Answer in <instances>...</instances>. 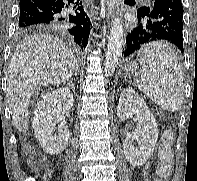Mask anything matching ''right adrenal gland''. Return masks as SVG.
<instances>
[{"instance_id":"right-adrenal-gland-1","label":"right adrenal gland","mask_w":197,"mask_h":181,"mask_svg":"<svg viewBox=\"0 0 197 181\" xmlns=\"http://www.w3.org/2000/svg\"><path fill=\"white\" fill-rule=\"evenodd\" d=\"M75 75H77V73H76ZM68 85H69V87L72 89V91L75 93V86H74L73 81H70V82L68 83Z\"/></svg>"}]
</instances>
